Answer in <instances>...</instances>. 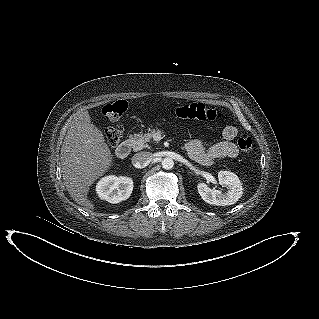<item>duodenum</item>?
Masks as SVG:
<instances>
[{
  "label": "duodenum",
  "instance_id": "duodenum-1",
  "mask_svg": "<svg viewBox=\"0 0 319 319\" xmlns=\"http://www.w3.org/2000/svg\"><path fill=\"white\" fill-rule=\"evenodd\" d=\"M131 150V144L129 141H123L116 148V156L120 159L126 158Z\"/></svg>",
  "mask_w": 319,
  "mask_h": 319
}]
</instances>
